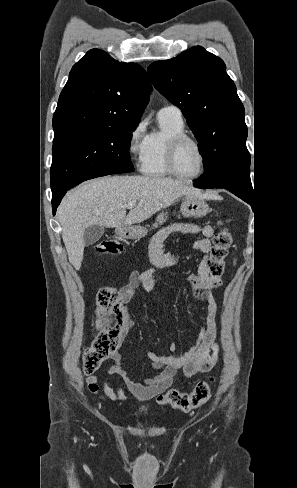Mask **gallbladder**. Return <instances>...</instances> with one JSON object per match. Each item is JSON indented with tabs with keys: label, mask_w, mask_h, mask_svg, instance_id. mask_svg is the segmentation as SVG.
I'll list each match as a JSON object with an SVG mask.
<instances>
[{
	"label": "gallbladder",
	"mask_w": 297,
	"mask_h": 488,
	"mask_svg": "<svg viewBox=\"0 0 297 488\" xmlns=\"http://www.w3.org/2000/svg\"><path fill=\"white\" fill-rule=\"evenodd\" d=\"M104 234V227L92 225L85 229L83 240L86 246L95 244Z\"/></svg>",
	"instance_id": "gallbladder-1"
}]
</instances>
